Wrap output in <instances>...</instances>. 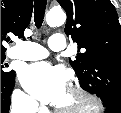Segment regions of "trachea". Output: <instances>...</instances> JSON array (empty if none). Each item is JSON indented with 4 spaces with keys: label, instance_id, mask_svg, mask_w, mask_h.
<instances>
[{
    "label": "trachea",
    "instance_id": "3493384b",
    "mask_svg": "<svg viewBox=\"0 0 121 113\" xmlns=\"http://www.w3.org/2000/svg\"><path fill=\"white\" fill-rule=\"evenodd\" d=\"M47 0H35L34 4V21L35 25L40 28L43 23L45 9H46Z\"/></svg>",
    "mask_w": 121,
    "mask_h": 113
}]
</instances>
